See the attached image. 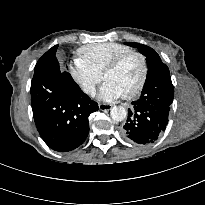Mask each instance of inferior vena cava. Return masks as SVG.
Masks as SVG:
<instances>
[{
    "label": "inferior vena cava",
    "mask_w": 205,
    "mask_h": 205,
    "mask_svg": "<svg viewBox=\"0 0 205 205\" xmlns=\"http://www.w3.org/2000/svg\"><path fill=\"white\" fill-rule=\"evenodd\" d=\"M84 92L87 94H90L91 96L96 95V90L94 86H86L83 88Z\"/></svg>",
    "instance_id": "inferior-vena-cava-1"
}]
</instances>
